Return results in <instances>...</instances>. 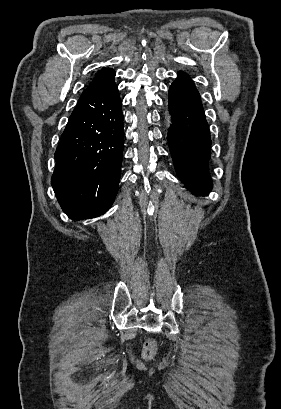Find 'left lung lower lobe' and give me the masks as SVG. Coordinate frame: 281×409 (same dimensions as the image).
<instances>
[{"label":"left lung lower lobe","instance_id":"obj_1","mask_svg":"<svg viewBox=\"0 0 281 409\" xmlns=\"http://www.w3.org/2000/svg\"><path fill=\"white\" fill-rule=\"evenodd\" d=\"M172 125L167 140L179 178L196 196L211 190L209 160L211 137L200 94L183 72L169 89Z\"/></svg>","mask_w":281,"mask_h":409}]
</instances>
